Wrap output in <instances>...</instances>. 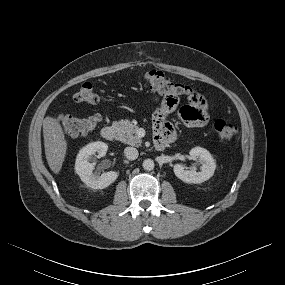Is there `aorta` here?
I'll return each instance as SVG.
<instances>
[{"instance_id": "obj_1", "label": "aorta", "mask_w": 285, "mask_h": 285, "mask_svg": "<svg viewBox=\"0 0 285 285\" xmlns=\"http://www.w3.org/2000/svg\"><path fill=\"white\" fill-rule=\"evenodd\" d=\"M144 170L151 171L154 169V161L151 159H145L142 164Z\"/></svg>"}]
</instances>
